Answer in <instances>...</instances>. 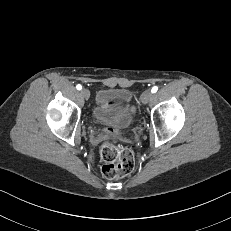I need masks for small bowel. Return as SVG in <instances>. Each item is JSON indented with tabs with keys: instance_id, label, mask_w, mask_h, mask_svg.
I'll list each match as a JSON object with an SVG mask.
<instances>
[{
	"instance_id": "1",
	"label": "small bowel",
	"mask_w": 231,
	"mask_h": 231,
	"mask_svg": "<svg viewBox=\"0 0 231 231\" xmlns=\"http://www.w3.org/2000/svg\"><path fill=\"white\" fill-rule=\"evenodd\" d=\"M104 131L109 132V133H113V132H116L117 129L111 127V128L105 129Z\"/></svg>"
}]
</instances>
